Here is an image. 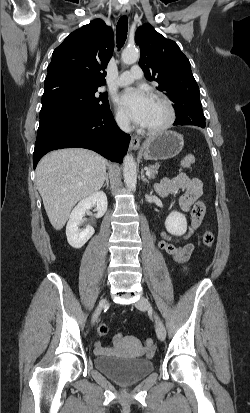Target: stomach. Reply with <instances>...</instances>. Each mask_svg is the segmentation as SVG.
<instances>
[{
  "label": "stomach",
  "instance_id": "obj_1",
  "mask_svg": "<svg viewBox=\"0 0 250 413\" xmlns=\"http://www.w3.org/2000/svg\"><path fill=\"white\" fill-rule=\"evenodd\" d=\"M184 146L183 136L164 131L145 140L140 153L146 160H165L177 156Z\"/></svg>",
  "mask_w": 250,
  "mask_h": 413
}]
</instances>
